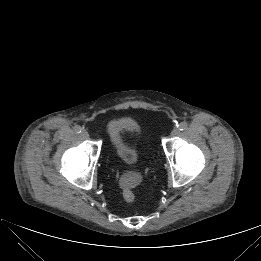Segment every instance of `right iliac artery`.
Instances as JSON below:
<instances>
[{
	"label": "right iliac artery",
	"mask_w": 261,
	"mask_h": 261,
	"mask_svg": "<svg viewBox=\"0 0 261 261\" xmlns=\"http://www.w3.org/2000/svg\"><path fill=\"white\" fill-rule=\"evenodd\" d=\"M74 131H75L76 133H81V132H82V127L79 126V125H76V126L74 127Z\"/></svg>",
	"instance_id": "obj_1"
}]
</instances>
